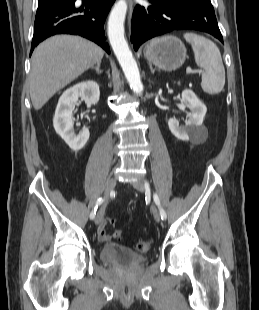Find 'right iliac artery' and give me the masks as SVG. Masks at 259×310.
Returning a JSON list of instances; mask_svg holds the SVG:
<instances>
[{"instance_id":"obj_1","label":"right iliac artery","mask_w":259,"mask_h":310,"mask_svg":"<svg viewBox=\"0 0 259 310\" xmlns=\"http://www.w3.org/2000/svg\"><path fill=\"white\" fill-rule=\"evenodd\" d=\"M102 202H103V198H99L96 201L95 207H94V209L90 213V219H94L95 218L96 210H97L98 206H100L102 204Z\"/></svg>"}]
</instances>
